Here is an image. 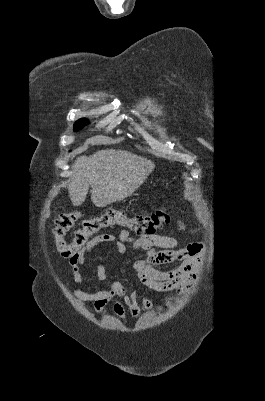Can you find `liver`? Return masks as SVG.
I'll return each instance as SVG.
<instances>
[{
    "mask_svg": "<svg viewBox=\"0 0 265 401\" xmlns=\"http://www.w3.org/2000/svg\"><path fill=\"white\" fill-rule=\"evenodd\" d=\"M68 192L74 207L84 203L91 186V201L95 207H107L133 194L151 174L152 160L128 150H97L91 156H77Z\"/></svg>",
    "mask_w": 265,
    "mask_h": 401,
    "instance_id": "obj_1",
    "label": "liver"
}]
</instances>
